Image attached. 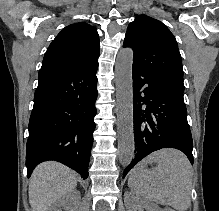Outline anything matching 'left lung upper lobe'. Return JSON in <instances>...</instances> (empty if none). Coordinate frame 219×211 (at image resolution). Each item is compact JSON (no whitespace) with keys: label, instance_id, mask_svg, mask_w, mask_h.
Returning a JSON list of instances; mask_svg holds the SVG:
<instances>
[{"label":"left lung upper lobe","instance_id":"obj_1","mask_svg":"<svg viewBox=\"0 0 219 211\" xmlns=\"http://www.w3.org/2000/svg\"><path fill=\"white\" fill-rule=\"evenodd\" d=\"M123 47L134 51L133 67L183 95V67L177 41L160 21L139 15L127 28Z\"/></svg>","mask_w":219,"mask_h":211}]
</instances>
